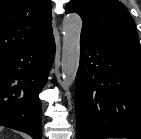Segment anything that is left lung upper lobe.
Here are the masks:
<instances>
[{"label": "left lung upper lobe", "instance_id": "5c2ea615", "mask_svg": "<svg viewBox=\"0 0 141 139\" xmlns=\"http://www.w3.org/2000/svg\"><path fill=\"white\" fill-rule=\"evenodd\" d=\"M65 11L81 16V36L117 48L141 52L134 20L120 1L71 0Z\"/></svg>", "mask_w": 141, "mask_h": 139}]
</instances>
